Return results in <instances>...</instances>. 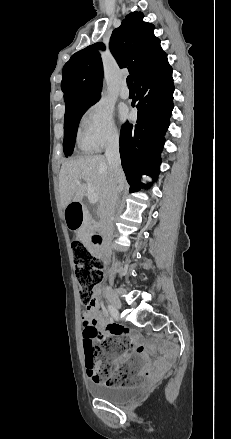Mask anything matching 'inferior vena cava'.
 I'll list each match as a JSON object with an SVG mask.
<instances>
[{"label": "inferior vena cava", "instance_id": "1", "mask_svg": "<svg viewBox=\"0 0 231 439\" xmlns=\"http://www.w3.org/2000/svg\"><path fill=\"white\" fill-rule=\"evenodd\" d=\"M105 156L109 164V169L111 172V182L110 187L101 200L100 211H101V222L106 230L107 242L110 241L113 234V217L116 208V202L118 200V181L122 173L121 160L119 153V141L118 138H113L109 141L106 147ZM104 250H106V255H109L107 246L104 245Z\"/></svg>", "mask_w": 231, "mask_h": 439}]
</instances>
